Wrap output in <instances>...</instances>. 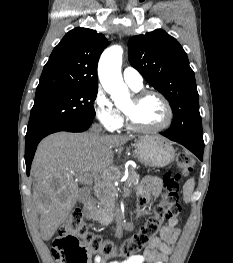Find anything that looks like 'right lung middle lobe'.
<instances>
[{"label":"right lung middle lobe","mask_w":233,"mask_h":263,"mask_svg":"<svg viewBox=\"0 0 233 263\" xmlns=\"http://www.w3.org/2000/svg\"><path fill=\"white\" fill-rule=\"evenodd\" d=\"M96 96L97 87H74L36 95L26 137L56 124L93 119Z\"/></svg>","instance_id":"dd1d6c3e"}]
</instances>
